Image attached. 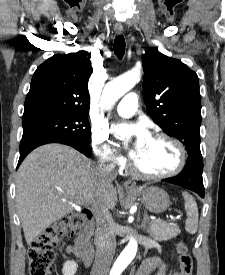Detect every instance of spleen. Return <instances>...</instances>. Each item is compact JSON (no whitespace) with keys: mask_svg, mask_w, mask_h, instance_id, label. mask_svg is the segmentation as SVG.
Masks as SVG:
<instances>
[{"mask_svg":"<svg viewBox=\"0 0 225 275\" xmlns=\"http://www.w3.org/2000/svg\"><path fill=\"white\" fill-rule=\"evenodd\" d=\"M185 200V211L187 219L185 222V230L190 234H195L198 228V208L194 198L187 192L182 193Z\"/></svg>","mask_w":225,"mask_h":275,"instance_id":"3e777b00","label":"spleen"}]
</instances>
